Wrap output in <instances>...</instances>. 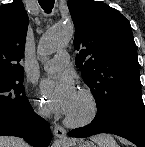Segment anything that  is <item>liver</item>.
I'll return each mask as SVG.
<instances>
[{
    "label": "liver",
    "mask_w": 145,
    "mask_h": 147,
    "mask_svg": "<svg viewBox=\"0 0 145 147\" xmlns=\"http://www.w3.org/2000/svg\"><path fill=\"white\" fill-rule=\"evenodd\" d=\"M0 147H28L20 138L0 136Z\"/></svg>",
    "instance_id": "liver-1"
}]
</instances>
